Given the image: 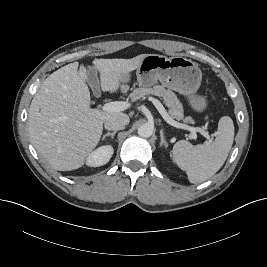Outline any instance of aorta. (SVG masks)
Returning <instances> with one entry per match:
<instances>
[{"mask_svg": "<svg viewBox=\"0 0 267 267\" xmlns=\"http://www.w3.org/2000/svg\"><path fill=\"white\" fill-rule=\"evenodd\" d=\"M154 126L150 123H144L138 127V134L141 137L148 138L153 134Z\"/></svg>", "mask_w": 267, "mask_h": 267, "instance_id": "obj_1", "label": "aorta"}]
</instances>
